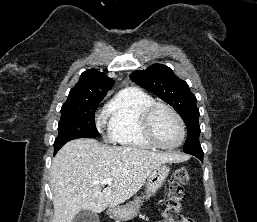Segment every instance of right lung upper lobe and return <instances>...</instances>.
I'll list each match as a JSON object with an SVG mask.
<instances>
[{
    "mask_svg": "<svg viewBox=\"0 0 257 222\" xmlns=\"http://www.w3.org/2000/svg\"><path fill=\"white\" fill-rule=\"evenodd\" d=\"M113 85L112 78L95 69H89L81 74L77 84L70 90L67 101L104 97Z\"/></svg>",
    "mask_w": 257,
    "mask_h": 222,
    "instance_id": "1",
    "label": "right lung upper lobe"
}]
</instances>
